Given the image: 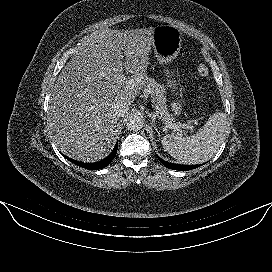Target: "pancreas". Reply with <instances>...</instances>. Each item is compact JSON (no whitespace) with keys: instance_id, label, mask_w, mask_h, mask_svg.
<instances>
[{"instance_id":"cf45deb5","label":"pancreas","mask_w":272,"mask_h":272,"mask_svg":"<svg viewBox=\"0 0 272 272\" xmlns=\"http://www.w3.org/2000/svg\"><path fill=\"white\" fill-rule=\"evenodd\" d=\"M144 90L150 92L159 107V116L163 122L168 124H180L175 123V118L169 114L167 104H166V89L164 85H161L153 78L146 79Z\"/></svg>"}]
</instances>
